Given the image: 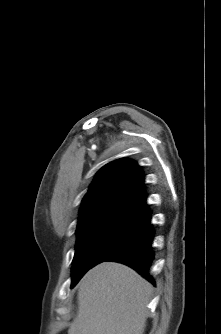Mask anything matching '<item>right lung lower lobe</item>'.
I'll return each mask as SVG.
<instances>
[{"mask_svg":"<svg viewBox=\"0 0 221 334\" xmlns=\"http://www.w3.org/2000/svg\"><path fill=\"white\" fill-rule=\"evenodd\" d=\"M150 219L151 216L149 215L138 232L106 261H115L128 265L155 285L153 278L149 274L150 266L154 259V252L151 246L154 230Z\"/></svg>","mask_w":221,"mask_h":334,"instance_id":"right-lung-lower-lobe-1","label":"right lung lower lobe"}]
</instances>
